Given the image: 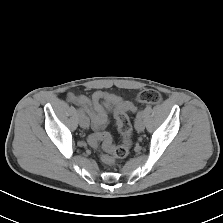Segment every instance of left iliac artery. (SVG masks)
I'll list each match as a JSON object with an SVG mask.
<instances>
[{
    "instance_id": "44dca946",
    "label": "left iliac artery",
    "mask_w": 223,
    "mask_h": 223,
    "mask_svg": "<svg viewBox=\"0 0 223 223\" xmlns=\"http://www.w3.org/2000/svg\"><path fill=\"white\" fill-rule=\"evenodd\" d=\"M137 118H142L143 117V111H139L136 115Z\"/></svg>"
}]
</instances>
